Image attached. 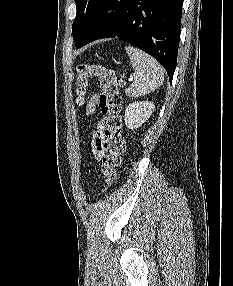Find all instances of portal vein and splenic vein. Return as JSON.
I'll return each mask as SVG.
<instances>
[{"instance_id":"portal-vein-and-splenic-vein-1","label":"portal vein and splenic vein","mask_w":233,"mask_h":286,"mask_svg":"<svg viewBox=\"0 0 233 286\" xmlns=\"http://www.w3.org/2000/svg\"><path fill=\"white\" fill-rule=\"evenodd\" d=\"M128 80L132 81L133 80V76L131 75Z\"/></svg>"}]
</instances>
